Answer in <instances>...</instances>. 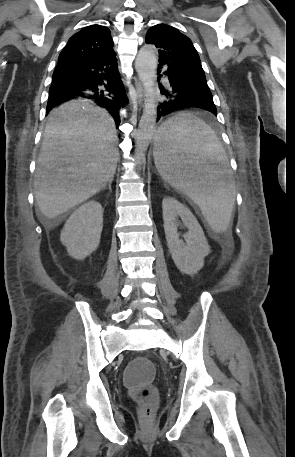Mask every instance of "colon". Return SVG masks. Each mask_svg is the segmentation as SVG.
<instances>
[{
  "label": "colon",
  "mask_w": 295,
  "mask_h": 457,
  "mask_svg": "<svg viewBox=\"0 0 295 457\" xmlns=\"http://www.w3.org/2000/svg\"><path fill=\"white\" fill-rule=\"evenodd\" d=\"M150 378H157V369H154L149 357H137L135 363L125 368L124 383H127L131 397L139 404L143 420L152 417L157 404V391Z\"/></svg>",
  "instance_id": "colon-1"
}]
</instances>
